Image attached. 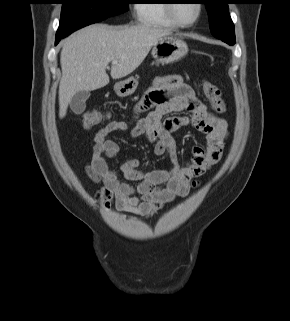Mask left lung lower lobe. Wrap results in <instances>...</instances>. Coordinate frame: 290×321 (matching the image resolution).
<instances>
[{"instance_id": "obj_1", "label": "left lung lower lobe", "mask_w": 290, "mask_h": 321, "mask_svg": "<svg viewBox=\"0 0 290 321\" xmlns=\"http://www.w3.org/2000/svg\"><path fill=\"white\" fill-rule=\"evenodd\" d=\"M220 40H222L223 42L229 44V45H234L235 43V37L232 38H219Z\"/></svg>"}]
</instances>
